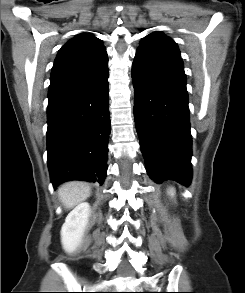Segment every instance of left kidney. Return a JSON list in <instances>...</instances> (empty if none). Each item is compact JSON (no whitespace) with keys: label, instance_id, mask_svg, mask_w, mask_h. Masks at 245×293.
I'll list each match as a JSON object with an SVG mask.
<instances>
[{"label":"left kidney","instance_id":"left-kidney-1","mask_svg":"<svg viewBox=\"0 0 245 293\" xmlns=\"http://www.w3.org/2000/svg\"><path fill=\"white\" fill-rule=\"evenodd\" d=\"M168 193L171 195V196H174V189L173 188H170Z\"/></svg>","mask_w":245,"mask_h":293}]
</instances>
